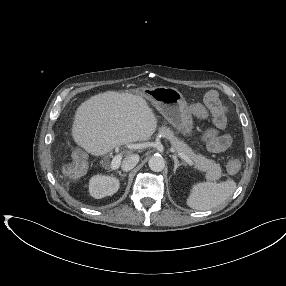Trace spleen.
I'll return each mask as SVG.
<instances>
[{
	"mask_svg": "<svg viewBox=\"0 0 286 286\" xmlns=\"http://www.w3.org/2000/svg\"><path fill=\"white\" fill-rule=\"evenodd\" d=\"M236 188V183L233 180L193 184L187 198V205L200 211L214 209L228 200Z\"/></svg>",
	"mask_w": 286,
	"mask_h": 286,
	"instance_id": "1",
	"label": "spleen"
}]
</instances>
